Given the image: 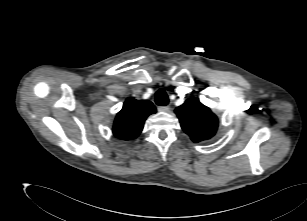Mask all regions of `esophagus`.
Returning a JSON list of instances; mask_svg holds the SVG:
<instances>
[{
	"instance_id": "esophagus-1",
	"label": "esophagus",
	"mask_w": 307,
	"mask_h": 221,
	"mask_svg": "<svg viewBox=\"0 0 307 221\" xmlns=\"http://www.w3.org/2000/svg\"><path fill=\"white\" fill-rule=\"evenodd\" d=\"M170 110L169 106H159L158 111L160 112H168Z\"/></svg>"
}]
</instances>
